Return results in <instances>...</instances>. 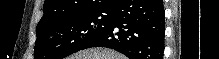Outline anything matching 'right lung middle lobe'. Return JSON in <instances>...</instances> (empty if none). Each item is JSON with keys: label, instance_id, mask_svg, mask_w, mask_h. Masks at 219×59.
I'll return each mask as SVG.
<instances>
[{"label": "right lung middle lobe", "instance_id": "right-lung-middle-lobe-1", "mask_svg": "<svg viewBox=\"0 0 219 59\" xmlns=\"http://www.w3.org/2000/svg\"><path fill=\"white\" fill-rule=\"evenodd\" d=\"M111 10L75 15L37 26L35 59H62L80 51L94 37L105 31Z\"/></svg>", "mask_w": 219, "mask_h": 59}]
</instances>
